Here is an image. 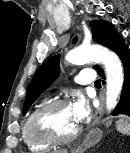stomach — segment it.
Segmentation results:
<instances>
[{"label":"stomach","mask_w":130,"mask_h":153,"mask_svg":"<svg viewBox=\"0 0 130 153\" xmlns=\"http://www.w3.org/2000/svg\"><path fill=\"white\" fill-rule=\"evenodd\" d=\"M102 137V132L99 129H92L86 136L84 147L88 148L94 146Z\"/></svg>","instance_id":"1"}]
</instances>
